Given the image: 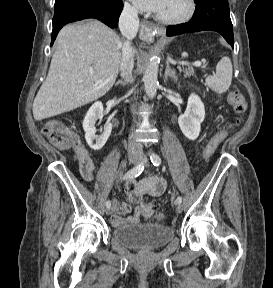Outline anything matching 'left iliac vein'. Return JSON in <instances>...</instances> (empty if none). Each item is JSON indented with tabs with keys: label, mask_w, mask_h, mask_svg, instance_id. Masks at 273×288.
I'll list each match as a JSON object with an SVG mask.
<instances>
[{
	"label": "left iliac vein",
	"mask_w": 273,
	"mask_h": 288,
	"mask_svg": "<svg viewBox=\"0 0 273 288\" xmlns=\"http://www.w3.org/2000/svg\"><path fill=\"white\" fill-rule=\"evenodd\" d=\"M182 210H183L182 205H181V204H177V205H176V212H177V213H181Z\"/></svg>",
	"instance_id": "4c4485c4"
}]
</instances>
